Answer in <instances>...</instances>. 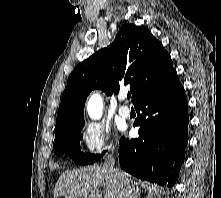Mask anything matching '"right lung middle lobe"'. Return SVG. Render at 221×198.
I'll list each match as a JSON object with an SVG mask.
<instances>
[{
  "instance_id": "1",
  "label": "right lung middle lobe",
  "mask_w": 221,
  "mask_h": 198,
  "mask_svg": "<svg viewBox=\"0 0 221 198\" xmlns=\"http://www.w3.org/2000/svg\"><path fill=\"white\" fill-rule=\"evenodd\" d=\"M83 126L84 125H81L70 131L56 135L53 142L54 153L59 156L65 154L71 157L74 162L79 165H88L99 160L104 155V152L101 155L84 154L81 152L79 143L80 139H82L81 130Z\"/></svg>"
}]
</instances>
